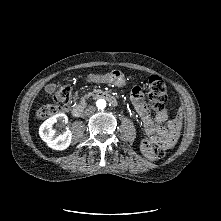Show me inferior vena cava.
<instances>
[{"instance_id":"inferior-vena-cava-1","label":"inferior vena cava","mask_w":221,"mask_h":221,"mask_svg":"<svg viewBox=\"0 0 221 221\" xmlns=\"http://www.w3.org/2000/svg\"><path fill=\"white\" fill-rule=\"evenodd\" d=\"M95 111V107L94 106H89L85 111H84V116H88L90 114H92Z\"/></svg>"}]
</instances>
